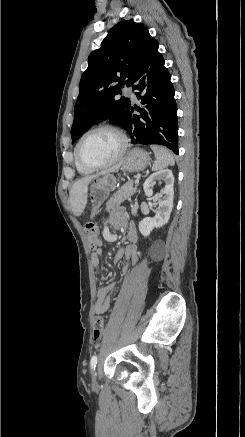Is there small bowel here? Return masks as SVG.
<instances>
[{"instance_id":"obj_1","label":"small bowel","mask_w":245,"mask_h":437,"mask_svg":"<svg viewBox=\"0 0 245 437\" xmlns=\"http://www.w3.org/2000/svg\"><path fill=\"white\" fill-rule=\"evenodd\" d=\"M112 221L123 228L126 232V237L128 241L130 242L126 247L120 248L115 256V260L119 261L121 259H125L126 263L122 267V273L124 275L128 274L131 266L136 264L137 262V248L135 246V241L137 240V233L134 225L132 223H126L124 221V217L122 213L116 212L112 216ZM103 254V249L98 248L93 254H92V263L94 266H97L99 264L100 258ZM130 263V264H129ZM116 284L115 283H109L107 285H104L100 287L97 291V300L94 306V310L96 314H104L106 313L110 308V295L112 291L115 289Z\"/></svg>"}]
</instances>
